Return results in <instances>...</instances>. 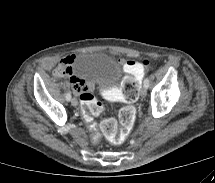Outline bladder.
Returning <instances> with one entry per match:
<instances>
[{
	"instance_id": "31cf9c89",
	"label": "bladder",
	"mask_w": 215,
	"mask_h": 183,
	"mask_svg": "<svg viewBox=\"0 0 215 183\" xmlns=\"http://www.w3.org/2000/svg\"><path fill=\"white\" fill-rule=\"evenodd\" d=\"M72 69L80 77L91 81L101 94L116 88L124 74L120 62L99 51L85 52L76 56Z\"/></svg>"
}]
</instances>
